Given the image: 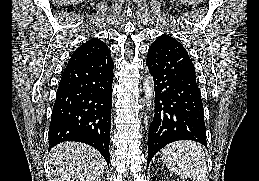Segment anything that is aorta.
Returning <instances> with one entry per match:
<instances>
[{
    "label": "aorta",
    "mask_w": 259,
    "mask_h": 181,
    "mask_svg": "<svg viewBox=\"0 0 259 181\" xmlns=\"http://www.w3.org/2000/svg\"><path fill=\"white\" fill-rule=\"evenodd\" d=\"M143 89L145 93L146 103L148 106H150L153 102V96H154L153 78L150 74H148L145 78Z\"/></svg>",
    "instance_id": "1"
}]
</instances>
